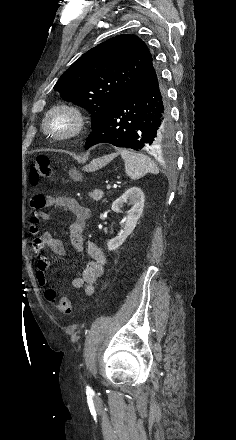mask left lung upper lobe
<instances>
[{"label":"left lung upper lobe","mask_w":236,"mask_h":440,"mask_svg":"<svg viewBox=\"0 0 236 440\" xmlns=\"http://www.w3.org/2000/svg\"><path fill=\"white\" fill-rule=\"evenodd\" d=\"M152 61L139 37L118 35L82 55L62 74L54 89L64 100L86 108L95 128Z\"/></svg>","instance_id":"1"}]
</instances>
